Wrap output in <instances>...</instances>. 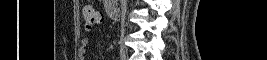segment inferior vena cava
<instances>
[{
  "label": "inferior vena cava",
  "mask_w": 267,
  "mask_h": 60,
  "mask_svg": "<svg viewBox=\"0 0 267 60\" xmlns=\"http://www.w3.org/2000/svg\"><path fill=\"white\" fill-rule=\"evenodd\" d=\"M122 3L125 2V0H121ZM124 18H125V8L122 7V16H121V27L123 28L124 26Z\"/></svg>",
  "instance_id": "602c4592"
}]
</instances>
